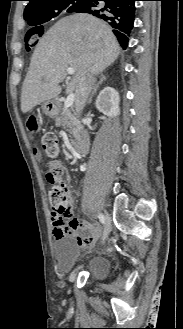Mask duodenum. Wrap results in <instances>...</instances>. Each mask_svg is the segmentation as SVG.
<instances>
[{"label":"duodenum","instance_id":"duodenum-1","mask_svg":"<svg viewBox=\"0 0 183 329\" xmlns=\"http://www.w3.org/2000/svg\"><path fill=\"white\" fill-rule=\"evenodd\" d=\"M90 146V138L86 132H81L76 141L74 142L72 149L76 155L83 156L88 153Z\"/></svg>","mask_w":183,"mask_h":329}]
</instances>
